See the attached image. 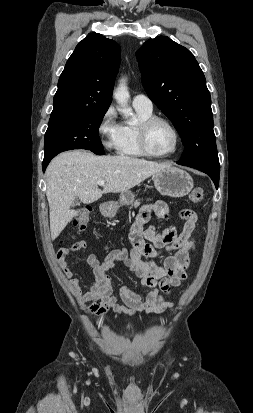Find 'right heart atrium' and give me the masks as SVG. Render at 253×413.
<instances>
[{"label":"right heart atrium","instance_id":"right-heart-atrium-1","mask_svg":"<svg viewBox=\"0 0 253 413\" xmlns=\"http://www.w3.org/2000/svg\"><path fill=\"white\" fill-rule=\"evenodd\" d=\"M97 133L105 149L119 151L123 140V126L117 120V113L113 106H109L101 115Z\"/></svg>","mask_w":253,"mask_h":413}]
</instances>
